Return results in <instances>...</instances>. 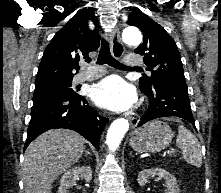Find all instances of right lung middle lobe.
I'll use <instances>...</instances> for the list:
<instances>
[{"label": "right lung middle lobe", "instance_id": "right-lung-middle-lobe-1", "mask_svg": "<svg viewBox=\"0 0 221 193\" xmlns=\"http://www.w3.org/2000/svg\"><path fill=\"white\" fill-rule=\"evenodd\" d=\"M71 81L35 86L33 100L48 96H76Z\"/></svg>", "mask_w": 221, "mask_h": 193}]
</instances>
